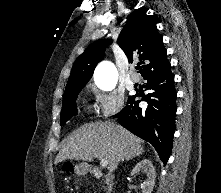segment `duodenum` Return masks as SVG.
I'll return each instance as SVG.
<instances>
[{
    "mask_svg": "<svg viewBox=\"0 0 221 193\" xmlns=\"http://www.w3.org/2000/svg\"><path fill=\"white\" fill-rule=\"evenodd\" d=\"M91 172L94 174V176H96L97 178H101L104 180L106 187H107V191L110 193L112 191V181L109 178H106L105 176H103V174L95 169V168H91Z\"/></svg>",
    "mask_w": 221,
    "mask_h": 193,
    "instance_id": "obj_1",
    "label": "duodenum"
}]
</instances>
